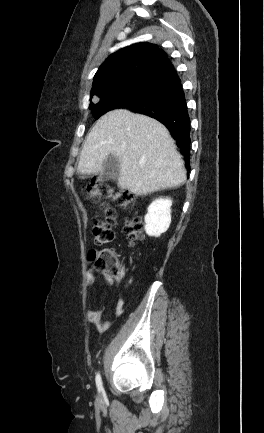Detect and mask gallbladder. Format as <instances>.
Segmentation results:
<instances>
[{"instance_id": "obj_1", "label": "gallbladder", "mask_w": 264, "mask_h": 433, "mask_svg": "<svg viewBox=\"0 0 264 433\" xmlns=\"http://www.w3.org/2000/svg\"><path fill=\"white\" fill-rule=\"evenodd\" d=\"M119 177V160L116 156H109L106 158L103 164V169L99 172L97 178L100 182H105L108 180L116 181Z\"/></svg>"}]
</instances>
